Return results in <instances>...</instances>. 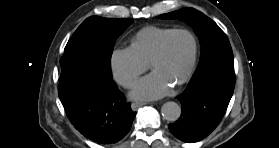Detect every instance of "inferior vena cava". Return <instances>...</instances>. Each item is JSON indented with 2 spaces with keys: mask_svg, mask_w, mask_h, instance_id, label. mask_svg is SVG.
I'll use <instances>...</instances> for the list:
<instances>
[{
  "mask_svg": "<svg viewBox=\"0 0 279 148\" xmlns=\"http://www.w3.org/2000/svg\"><path fill=\"white\" fill-rule=\"evenodd\" d=\"M125 85H129V83H125Z\"/></svg>",
  "mask_w": 279,
  "mask_h": 148,
  "instance_id": "inferior-vena-cava-1",
  "label": "inferior vena cava"
}]
</instances>
